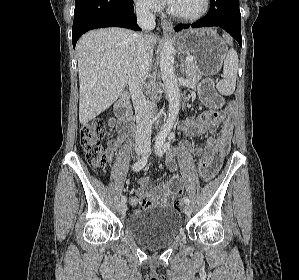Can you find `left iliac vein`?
I'll list each match as a JSON object with an SVG mask.
<instances>
[{
	"label": "left iliac vein",
	"instance_id": "4c4485c4",
	"mask_svg": "<svg viewBox=\"0 0 299 280\" xmlns=\"http://www.w3.org/2000/svg\"><path fill=\"white\" fill-rule=\"evenodd\" d=\"M184 213L189 216L191 214V207L189 205H185Z\"/></svg>",
	"mask_w": 299,
	"mask_h": 280
}]
</instances>
